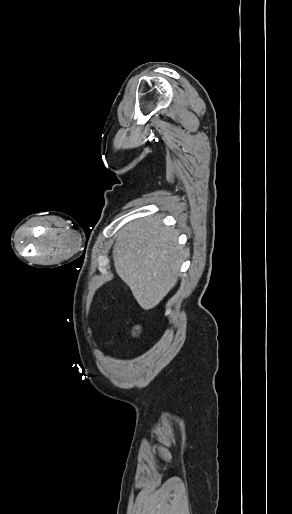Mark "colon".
I'll use <instances>...</instances> for the list:
<instances>
[{
	"label": "colon",
	"instance_id": "1",
	"mask_svg": "<svg viewBox=\"0 0 292 514\" xmlns=\"http://www.w3.org/2000/svg\"><path fill=\"white\" fill-rule=\"evenodd\" d=\"M132 331H133V333H134L135 335H139V334H140L141 329H140L139 325H135V326L133 327V330H132Z\"/></svg>",
	"mask_w": 292,
	"mask_h": 514
}]
</instances>
